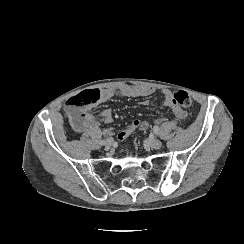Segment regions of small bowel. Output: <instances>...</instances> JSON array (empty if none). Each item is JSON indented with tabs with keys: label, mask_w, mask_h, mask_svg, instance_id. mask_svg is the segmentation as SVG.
Wrapping results in <instances>:
<instances>
[{
	"label": "small bowel",
	"mask_w": 244,
	"mask_h": 244,
	"mask_svg": "<svg viewBox=\"0 0 244 244\" xmlns=\"http://www.w3.org/2000/svg\"><path fill=\"white\" fill-rule=\"evenodd\" d=\"M98 91V90H97ZM100 94L99 102H105L110 100L113 97L120 96V97H131V98H139V97H148L152 95L155 91L153 88L150 87H141V86H129V85H115L110 86L104 89H101L98 91ZM163 95V103L166 107H168L172 114L178 119V120H186L188 118V113L183 108L177 106L172 101V93L169 89H163L162 91ZM143 104L148 105L150 104V100H143ZM95 104L88 106L85 108L87 112L90 115L91 123L88 129H93L98 126L100 122L105 123H111L113 121V115L110 110H104L100 113H94L93 109L95 108ZM164 118H158L156 120V123H162L164 122ZM151 126V123L148 121H145L143 125L138 126V129L140 130H146ZM87 130V129H86ZM113 129L110 128L109 131H112Z\"/></svg>",
	"instance_id": "1"
}]
</instances>
